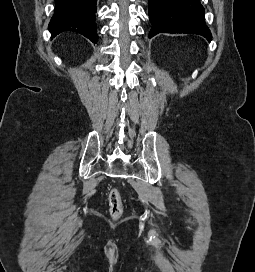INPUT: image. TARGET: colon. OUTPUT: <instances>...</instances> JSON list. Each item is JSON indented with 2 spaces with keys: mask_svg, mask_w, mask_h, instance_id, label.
Here are the masks:
<instances>
[{
  "mask_svg": "<svg viewBox=\"0 0 255 272\" xmlns=\"http://www.w3.org/2000/svg\"><path fill=\"white\" fill-rule=\"evenodd\" d=\"M107 198L110 216L115 220L119 219L123 214V202L119 189L112 188L108 192Z\"/></svg>",
  "mask_w": 255,
  "mask_h": 272,
  "instance_id": "colon-1",
  "label": "colon"
}]
</instances>
